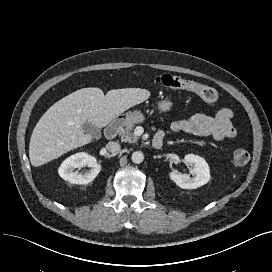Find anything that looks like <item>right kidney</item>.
<instances>
[{
  "mask_svg": "<svg viewBox=\"0 0 272 272\" xmlns=\"http://www.w3.org/2000/svg\"><path fill=\"white\" fill-rule=\"evenodd\" d=\"M84 166L90 167V170L84 173L74 172L75 168ZM101 170V165L96 158L85 153L80 152L68 157L58 169V173L65 181L73 184H88L92 182Z\"/></svg>",
  "mask_w": 272,
  "mask_h": 272,
  "instance_id": "right-kidney-1",
  "label": "right kidney"
}]
</instances>
